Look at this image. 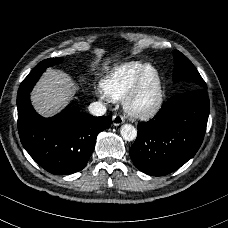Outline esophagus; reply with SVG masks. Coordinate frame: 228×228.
Returning a JSON list of instances; mask_svg holds the SVG:
<instances>
[{"label":"esophagus","instance_id":"obj_1","mask_svg":"<svg viewBox=\"0 0 228 228\" xmlns=\"http://www.w3.org/2000/svg\"><path fill=\"white\" fill-rule=\"evenodd\" d=\"M122 123H124V118L121 114H115L113 116V125L115 126H119L121 125Z\"/></svg>","mask_w":228,"mask_h":228}]
</instances>
